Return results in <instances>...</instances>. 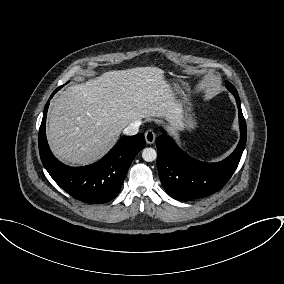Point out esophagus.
I'll return each mask as SVG.
<instances>
[{
  "label": "esophagus",
  "instance_id": "esophagus-1",
  "mask_svg": "<svg viewBox=\"0 0 284 284\" xmlns=\"http://www.w3.org/2000/svg\"><path fill=\"white\" fill-rule=\"evenodd\" d=\"M156 135L152 130L145 132V140L147 144H153L155 142Z\"/></svg>",
  "mask_w": 284,
  "mask_h": 284
}]
</instances>
